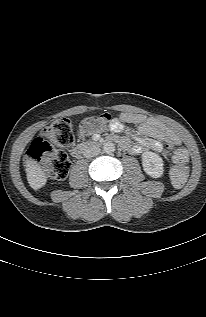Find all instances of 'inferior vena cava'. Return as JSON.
I'll return each mask as SVG.
<instances>
[{
  "label": "inferior vena cava",
  "instance_id": "602c4592",
  "mask_svg": "<svg viewBox=\"0 0 206 317\" xmlns=\"http://www.w3.org/2000/svg\"><path fill=\"white\" fill-rule=\"evenodd\" d=\"M100 153V148L95 145H86L83 149V156L85 158L95 157Z\"/></svg>",
  "mask_w": 206,
  "mask_h": 317
}]
</instances>
